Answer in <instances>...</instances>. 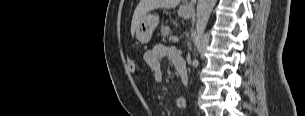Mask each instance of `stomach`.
<instances>
[{
	"label": "stomach",
	"instance_id": "stomach-1",
	"mask_svg": "<svg viewBox=\"0 0 305 116\" xmlns=\"http://www.w3.org/2000/svg\"><path fill=\"white\" fill-rule=\"evenodd\" d=\"M178 14L183 18H190L193 15V10L185 6H181L178 10ZM159 23V16L155 14H146L138 25L136 30V38L142 44L148 43L151 38L154 29Z\"/></svg>",
	"mask_w": 305,
	"mask_h": 116
}]
</instances>
